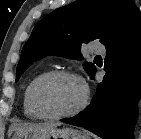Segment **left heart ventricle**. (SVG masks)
<instances>
[{
	"label": "left heart ventricle",
	"instance_id": "1",
	"mask_svg": "<svg viewBox=\"0 0 141 139\" xmlns=\"http://www.w3.org/2000/svg\"><path fill=\"white\" fill-rule=\"evenodd\" d=\"M44 109L53 114L73 109L82 98L80 83L69 77H55L45 82L39 93Z\"/></svg>",
	"mask_w": 141,
	"mask_h": 139
}]
</instances>
